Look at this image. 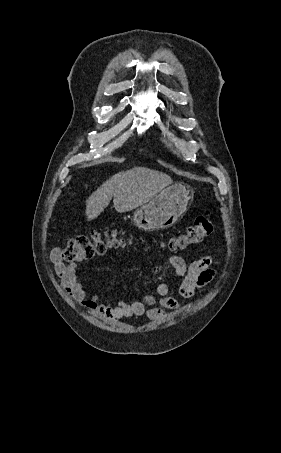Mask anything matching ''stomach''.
Here are the masks:
<instances>
[{
  "label": "stomach",
  "instance_id": "obj_1",
  "mask_svg": "<svg viewBox=\"0 0 281 453\" xmlns=\"http://www.w3.org/2000/svg\"><path fill=\"white\" fill-rule=\"evenodd\" d=\"M191 198L192 190L187 184H169L147 204L136 208L132 220L141 231L170 229L187 210Z\"/></svg>",
  "mask_w": 281,
  "mask_h": 453
}]
</instances>
